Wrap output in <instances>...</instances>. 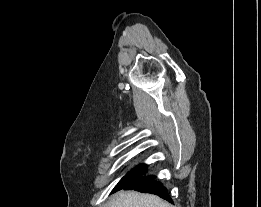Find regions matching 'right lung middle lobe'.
Returning <instances> with one entry per match:
<instances>
[{"label": "right lung middle lobe", "mask_w": 261, "mask_h": 207, "mask_svg": "<svg viewBox=\"0 0 261 207\" xmlns=\"http://www.w3.org/2000/svg\"><path fill=\"white\" fill-rule=\"evenodd\" d=\"M146 168H147V165L141 164V165L135 167L134 169H132L120 180V182L117 184V186L114 188L113 191L118 190L126 183L139 177L141 174H143L146 171Z\"/></svg>", "instance_id": "right-lung-middle-lobe-1"}]
</instances>
